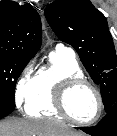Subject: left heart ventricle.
Masks as SVG:
<instances>
[{"instance_id":"1","label":"left heart ventricle","mask_w":117,"mask_h":136,"mask_svg":"<svg viewBox=\"0 0 117 136\" xmlns=\"http://www.w3.org/2000/svg\"><path fill=\"white\" fill-rule=\"evenodd\" d=\"M69 109L77 119H93L98 110L95 93L89 87L78 88L70 96Z\"/></svg>"}]
</instances>
